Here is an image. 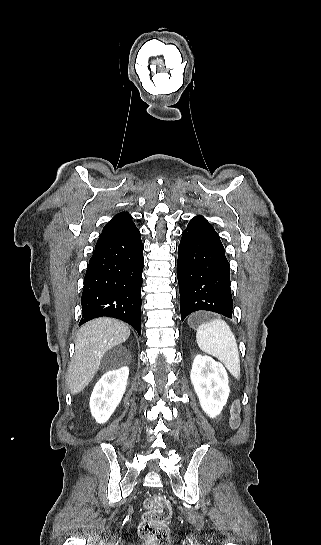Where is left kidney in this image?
<instances>
[{
	"mask_svg": "<svg viewBox=\"0 0 321 545\" xmlns=\"http://www.w3.org/2000/svg\"><path fill=\"white\" fill-rule=\"evenodd\" d=\"M190 379L203 411L211 419L220 415L230 393L228 375L223 365L216 363L211 357L197 355L193 361Z\"/></svg>",
	"mask_w": 321,
	"mask_h": 545,
	"instance_id": "left-kidney-1",
	"label": "left kidney"
}]
</instances>
